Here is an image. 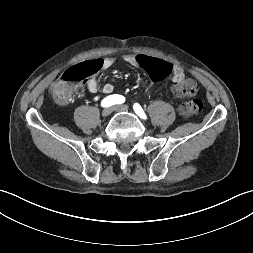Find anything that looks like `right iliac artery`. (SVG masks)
Segmentation results:
<instances>
[{"label": "right iliac artery", "instance_id": "right-iliac-artery-1", "mask_svg": "<svg viewBox=\"0 0 253 253\" xmlns=\"http://www.w3.org/2000/svg\"><path fill=\"white\" fill-rule=\"evenodd\" d=\"M124 101H125V98L121 95H118V94L109 95L102 100L101 106L110 107L115 104H122L124 103Z\"/></svg>", "mask_w": 253, "mask_h": 253}]
</instances>
